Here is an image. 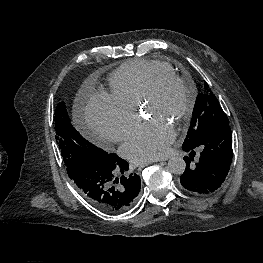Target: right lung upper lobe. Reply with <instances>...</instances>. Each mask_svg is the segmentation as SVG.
<instances>
[{
    "instance_id": "obj_1",
    "label": "right lung upper lobe",
    "mask_w": 263,
    "mask_h": 263,
    "mask_svg": "<svg viewBox=\"0 0 263 263\" xmlns=\"http://www.w3.org/2000/svg\"><path fill=\"white\" fill-rule=\"evenodd\" d=\"M114 212H122L121 209H115Z\"/></svg>"
}]
</instances>
